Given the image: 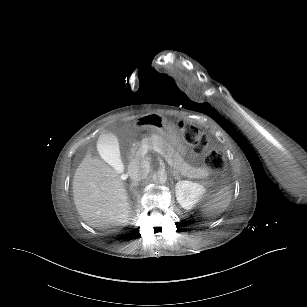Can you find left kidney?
<instances>
[{"mask_svg":"<svg viewBox=\"0 0 307 307\" xmlns=\"http://www.w3.org/2000/svg\"><path fill=\"white\" fill-rule=\"evenodd\" d=\"M204 191V187L198 183L179 181L175 187V196L177 202L182 208L190 209L196 202H198Z\"/></svg>","mask_w":307,"mask_h":307,"instance_id":"left-kidney-1","label":"left kidney"}]
</instances>
